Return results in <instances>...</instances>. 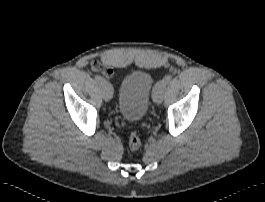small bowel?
<instances>
[{"label": "small bowel", "mask_w": 265, "mask_h": 202, "mask_svg": "<svg viewBox=\"0 0 265 202\" xmlns=\"http://www.w3.org/2000/svg\"><path fill=\"white\" fill-rule=\"evenodd\" d=\"M92 66H93V68L95 69V70H97V71H102L106 76H108V77H111L112 75H113V70H112V68L111 67H109V66H101L99 63H97V62H93L92 63Z\"/></svg>", "instance_id": "1"}]
</instances>
